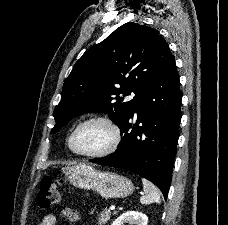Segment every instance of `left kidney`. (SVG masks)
<instances>
[{
	"label": "left kidney",
	"mask_w": 228,
	"mask_h": 225,
	"mask_svg": "<svg viewBox=\"0 0 228 225\" xmlns=\"http://www.w3.org/2000/svg\"><path fill=\"white\" fill-rule=\"evenodd\" d=\"M124 223H131V225H147L148 217L143 215V213H138V211H127V213H123L118 219H115L112 225H124Z\"/></svg>",
	"instance_id": "left-kidney-1"
}]
</instances>
